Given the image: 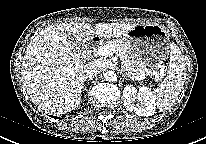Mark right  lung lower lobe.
<instances>
[{
	"instance_id": "98d812e1",
	"label": "right lung lower lobe",
	"mask_w": 206,
	"mask_h": 144,
	"mask_svg": "<svg viewBox=\"0 0 206 144\" xmlns=\"http://www.w3.org/2000/svg\"><path fill=\"white\" fill-rule=\"evenodd\" d=\"M52 117H54V118H58V117H56V116H52Z\"/></svg>"
}]
</instances>
